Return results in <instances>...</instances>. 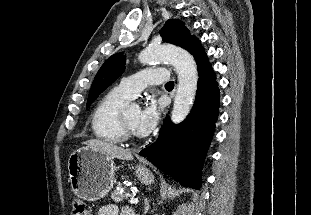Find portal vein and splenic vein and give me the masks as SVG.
I'll list each match as a JSON object with an SVG mask.
<instances>
[{"label":"portal vein and splenic vein","instance_id":"obj_1","mask_svg":"<svg viewBox=\"0 0 311 215\" xmlns=\"http://www.w3.org/2000/svg\"><path fill=\"white\" fill-rule=\"evenodd\" d=\"M129 202L130 204H137L139 201H138V198L131 197Z\"/></svg>","mask_w":311,"mask_h":215}]
</instances>
